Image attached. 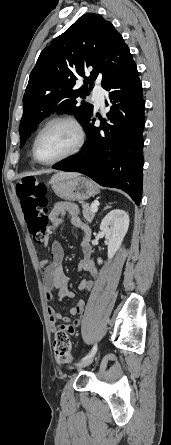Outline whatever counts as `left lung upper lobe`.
I'll return each mask as SVG.
<instances>
[{
  "instance_id": "5c2ea615",
  "label": "left lung upper lobe",
  "mask_w": 171,
  "mask_h": 445,
  "mask_svg": "<svg viewBox=\"0 0 171 445\" xmlns=\"http://www.w3.org/2000/svg\"><path fill=\"white\" fill-rule=\"evenodd\" d=\"M134 63L121 34L101 15L81 16L45 48L32 70L23 97V116L19 125L20 147L32 131L50 114L66 111L85 125L93 105L85 99L93 82L103 86L114 74ZM89 72V76L86 73ZM84 84L76 87V80Z\"/></svg>"
}]
</instances>
